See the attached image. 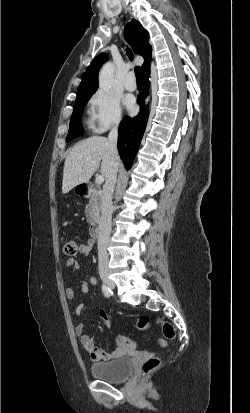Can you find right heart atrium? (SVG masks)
<instances>
[{"label": "right heart atrium", "mask_w": 250, "mask_h": 413, "mask_svg": "<svg viewBox=\"0 0 250 413\" xmlns=\"http://www.w3.org/2000/svg\"><path fill=\"white\" fill-rule=\"evenodd\" d=\"M89 126L94 133H103L117 127L122 120L119 98L110 92L99 90L89 101Z\"/></svg>", "instance_id": "right-heart-atrium-1"}]
</instances>
